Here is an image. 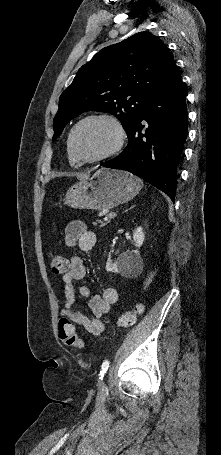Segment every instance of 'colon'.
Returning a JSON list of instances; mask_svg holds the SVG:
<instances>
[{"instance_id":"5ec220e1","label":"colon","mask_w":221,"mask_h":455,"mask_svg":"<svg viewBox=\"0 0 221 455\" xmlns=\"http://www.w3.org/2000/svg\"><path fill=\"white\" fill-rule=\"evenodd\" d=\"M50 267L53 273L64 275L69 270V261L61 255L52 254L50 256ZM142 310V305L137 304L132 310L122 313L117 319L118 326L123 328L133 326ZM59 337L67 346L79 349L84 347L83 340L76 333L71 320L66 317L59 320Z\"/></svg>"}]
</instances>
